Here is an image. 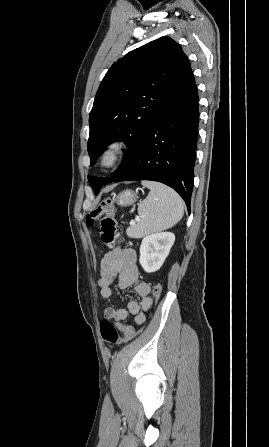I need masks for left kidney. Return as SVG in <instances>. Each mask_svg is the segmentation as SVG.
Masks as SVG:
<instances>
[{
	"mask_svg": "<svg viewBox=\"0 0 269 447\" xmlns=\"http://www.w3.org/2000/svg\"><path fill=\"white\" fill-rule=\"evenodd\" d=\"M175 241L174 233L171 231H161V233H151L143 237L140 245L139 261L148 273L160 269L164 263L170 247Z\"/></svg>",
	"mask_w": 269,
	"mask_h": 447,
	"instance_id": "1",
	"label": "left kidney"
}]
</instances>
